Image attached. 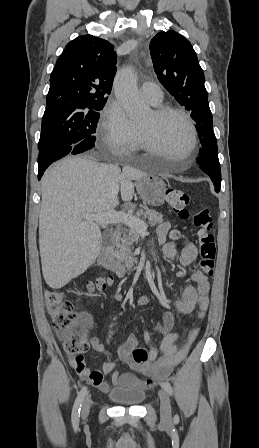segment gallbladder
I'll use <instances>...</instances> for the list:
<instances>
[{
  "mask_svg": "<svg viewBox=\"0 0 259 448\" xmlns=\"http://www.w3.org/2000/svg\"><path fill=\"white\" fill-rule=\"evenodd\" d=\"M111 242H112V230H105V232H102L101 244H103V246H110Z\"/></svg>",
  "mask_w": 259,
  "mask_h": 448,
  "instance_id": "bac80fb5",
  "label": "gallbladder"
}]
</instances>
